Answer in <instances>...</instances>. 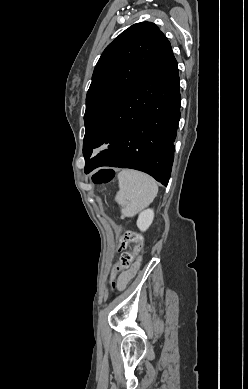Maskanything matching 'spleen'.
<instances>
[{
    "label": "spleen",
    "instance_id": "1",
    "mask_svg": "<svg viewBox=\"0 0 248 389\" xmlns=\"http://www.w3.org/2000/svg\"><path fill=\"white\" fill-rule=\"evenodd\" d=\"M119 191L115 201L121 206V213L134 217L149 206L158 193L157 182L149 175L131 169L118 174Z\"/></svg>",
    "mask_w": 248,
    "mask_h": 389
}]
</instances>
